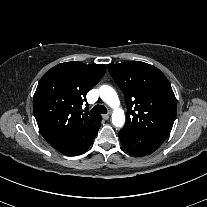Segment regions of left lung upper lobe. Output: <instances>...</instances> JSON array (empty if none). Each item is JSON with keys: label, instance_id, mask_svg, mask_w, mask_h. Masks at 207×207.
I'll return each instance as SVG.
<instances>
[{"label": "left lung upper lobe", "instance_id": "obj_1", "mask_svg": "<svg viewBox=\"0 0 207 207\" xmlns=\"http://www.w3.org/2000/svg\"><path fill=\"white\" fill-rule=\"evenodd\" d=\"M107 66L126 99L128 111L124 129L165 141L177 110L175 95L165 75L140 61Z\"/></svg>", "mask_w": 207, "mask_h": 207}]
</instances>
